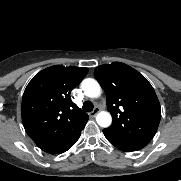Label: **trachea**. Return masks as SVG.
Instances as JSON below:
<instances>
[{
    "label": "trachea",
    "mask_w": 181,
    "mask_h": 181,
    "mask_svg": "<svg viewBox=\"0 0 181 181\" xmlns=\"http://www.w3.org/2000/svg\"><path fill=\"white\" fill-rule=\"evenodd\" d=\"M83 110L85 112H90L93 110V103L91 101H86L83 103Z\"/></svg>",
    "instance_id": "1"
}]
</instances>
